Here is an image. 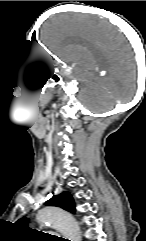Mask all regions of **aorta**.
<instances>
[{
    "instance_id": "obj_1",
    "label": "aorta",
    "mask_w": 146,
    "mask_h": 241,
    "mask_svg": "<svg viewBox=\"0 0 146 241\" xmlns=\"http://www.w3.org/2000/svg\"><path fill=\"white\" fill-rule=\"evenodd\" d=\"M38 222L56 227L71 241H81L78 223L67 211L58 207H45L37 214Z\"/></svg>"
}]
</instances>
